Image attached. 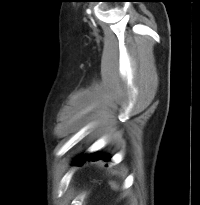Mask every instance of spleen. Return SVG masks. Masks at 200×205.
Masks as SVG:
<instances>
[{
    "instance_id": "1",
    "label": "spleen",
    "mask_w": 200,
    "mask_h": 205,
    "mask_svg": "<svg viewBox=\"0 0 200 205\" xmlns=\"http://www.w3.org/2000/svg\"><path fill=\"white\" fill-rule=\"evenodd\" d=\"M112 187H113V188H117L115 184H112Z\"/></svg>"
}]
</instances>
